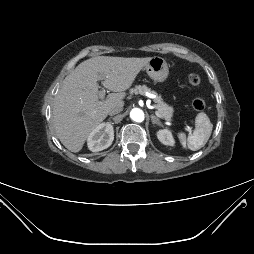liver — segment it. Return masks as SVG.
I'll use <instances>...</instances> for the list:
<instances>
[{
  "label": "liver",
  "mask_w": 254,
  "mask_h": 254,
  "mask_svg": "<svg viewBox=\"0 0 254 254\" xmlns=\"http://www.w3.org/2000/svg\"><path fill=\"white\" fill-rule=\"evenodd\" d=\"M151 57L97 56L80 63L64 79L53 105V126L58 139L72 152H79L89 134L106 117L110 107L123 106L125 91ZM99 75L115 93L99 100Z\"/></svg>",
  "instance_id": "liver-1"
}]
</instances>
